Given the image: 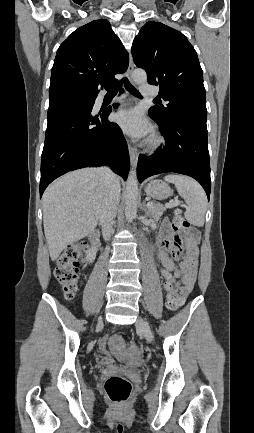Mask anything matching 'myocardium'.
<instances>
[{
	"mask_svg": "<svg viewBox=\"0 0 254 433\" xmlns=\"http://www.w3.org/2000/svg\"><path fill=\"white\" fill-rule=\"evenodd\" d=\"M163 143V138L159 134L152 135L147 144L150 148L156 149Z\"/></svg>",
	"mask_w": 254,
	"mask_h": 433,
	"instance_id": "obj_1",
	"label": "myocardium"
}]
</instances>
